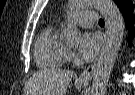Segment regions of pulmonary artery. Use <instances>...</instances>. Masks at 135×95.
<instances>
[{
	"mask_svg": "<svg viewBox=\"0 0 135 95\" xmlns=\"http://www.w3.org/2000/svg\"><path fill=\"white\" fill-rule=\"evenodd\" d=\"M75 20L78 24L83 26H89L97 20L96 13L94 11H80L77 13Z\"/></svg>",
	"mask_w": 135,
	"mask_h": 95,
	"instance_id": "pulmonary-artery-1",
	"label": "pulmonary artery"
}]
</instances>
